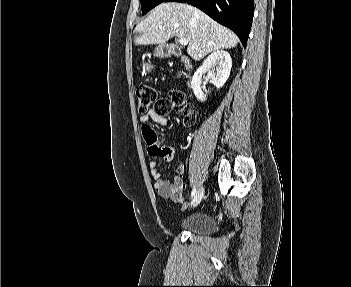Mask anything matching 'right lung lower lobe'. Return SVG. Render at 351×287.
I'll return each mask as SVG.
<instances>
[{"mask_svg":"<svg viewBox=\"0 0 351 287\" xmlns=\"http://www.w3.org/2000/svg\"><path fill=\"white\" fill-rule=\"evenodd\" d=\"M195 6L220 24L233 30L246 47L252 18L254 0H165Z\"/></svg>","mask_w":351,"mask_h":287,"instance_id":"obj_1","label":"right lung lower lobe"}]
</instances>
